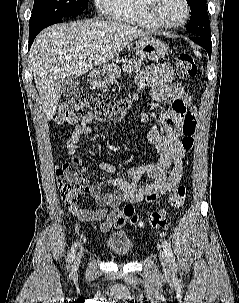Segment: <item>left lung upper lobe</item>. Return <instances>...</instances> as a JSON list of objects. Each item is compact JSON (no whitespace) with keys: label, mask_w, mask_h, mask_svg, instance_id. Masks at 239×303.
Returning <instances> with one entry per match:
<instances>
[{"label":"left lung upper lobe","mask_w":239,"mask_h":303,"mask_svg":"<svg viewBox=\"0 0 239 303\" xmlns=\"http://www.w3.org/2000/svg\"><path fill=\"white\" fill-rule=\"evenodd\" d=\"M191 9V17L187 31L193 36L211 37L206 0H187Z\"/></svg>","instance_id":"1"}]
</instances>
